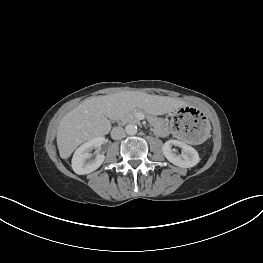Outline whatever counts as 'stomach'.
Segmentation results:
<instances>
[{"mask_svg":"<svg viewBox=\"0 0 263 263\" xmlns=\"http://www.w3.org/2000/svg\"><path fill=\"white\" fill-rule=\"evenodd\" d=\"M170 127L177 138L191 146L205 143L212 132L209 117L193 106L177 109L171 117Z\"/></svg>","mask_w":263,"mask_h":263,"instance_id":"obj_1","label":"stomach"}]
</instances>
